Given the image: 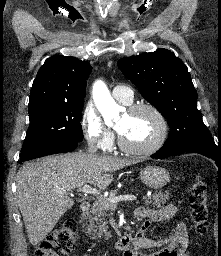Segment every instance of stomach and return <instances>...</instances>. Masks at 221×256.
I'll use <instances>...</instances> for the list:
<instances>
[{
	"label": "stomach",
	"mask_w": 221,
	"mask_h": 256,
	"mask_svg": "<svg viewBox=\"0 0 221 256\" xmlns=\"http://www.w3.org/2000/svg\"><path fill=\"white\" fill-rule=\"evenodd\" d=\"M141 180L152 189H160L170 181L169 172L162 167L149 166L140 171Z\"/></svg>",
	"instance_id": "0dacf381"
}]
</instances>
